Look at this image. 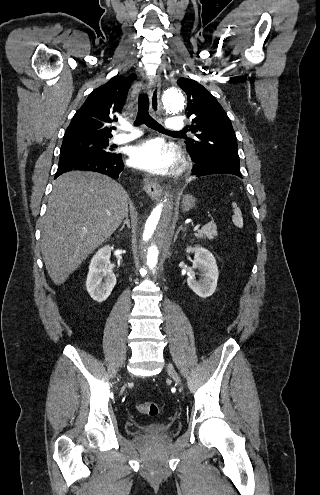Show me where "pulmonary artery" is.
I'll use <instances>...</instances> for the list:
<instances>
[{
    "label": "pulmonary artery",
    "instance_id": "pulmonary-artery-1",
    "mask_svg": "<svg viewBox=\"0 0 320 495\" xmlns=\"http://www.w3.org/2000/svg\"><path fill=\"white\" fill-rule=\"evenodd\" d=\"M166 127L168 131H181L184 128V120L182 117H172L167 120ZM124 129L128 132L115 135L113 138L114 143H126L140 136V132L131 126H124Z\"/></svg>",
    "mask_w": 320,
    "mask_h": 495
}]
</instances>
